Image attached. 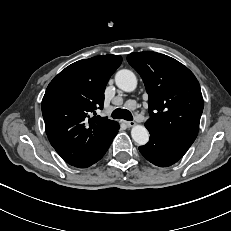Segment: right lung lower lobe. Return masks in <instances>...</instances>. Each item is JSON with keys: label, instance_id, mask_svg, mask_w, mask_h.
I'll return each instance as SVG.
<instances>
[{"label": "right lung lower lobe", "instance_id": "1", "mask_svg": "<svg viewBox=\"0 0 231 231\" xmlns=\"http://www.w3.org/2000/svg\"><path fill=\"white\" fill-rule=\"evenodd\" d=\"M118 129H119V125L118 127L116 128L115 132H114V135L112 137V139L115 137V135L117 134L118 132ZM112 139L97 153V155L90 161V163L88 165H86V167H89L91 166L92 164L96 163L98 160H100L103 155L106 153V151L108 150L111 142H112ZM85 168V167H84Z\"/></svg>", "mask_w": 231, "mask_h": 231}]
</instances>
